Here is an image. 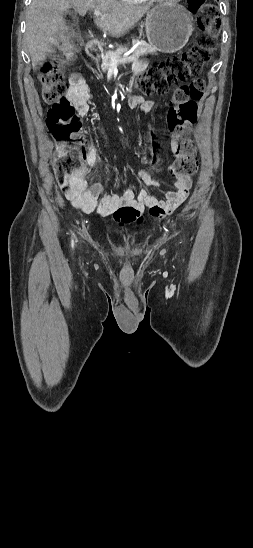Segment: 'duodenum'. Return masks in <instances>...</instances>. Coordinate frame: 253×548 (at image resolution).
<instances>
[{
    "label": "duodenum",
    "instance_id": "410a0bca",
    "mask_svg": "<svg viewBox=\"0 0 253 548\" xmlns=\"http://www.w3.org/2000/svg\"><path fill=\"white\" fill-rule=\"evenodd\" d=\"M87 53L91 58L99 57L101 50L95 42H89L87 44Z\"/></svg>",
    "mask_w": 253,
    "mask_h": 548
}]
</instances>
